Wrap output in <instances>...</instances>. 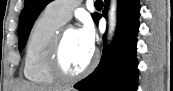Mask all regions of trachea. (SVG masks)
<instances>
[{
    "mask_svg": "<svg viewBox=\"0 0 173 91\" xmlns=\"http://www.w3.org/2000/svg\"><path fill=\"white\" fill-rule=\"evenodd\" d=\"M95 6L96 7L103 6V2L101 0H97L95 1Z\"/></svg>",
    "mask_w": 173,
    "mask_h": 91,
    "instance_id": "3493384b",
    "label": "trachea"
}]
</instances>
